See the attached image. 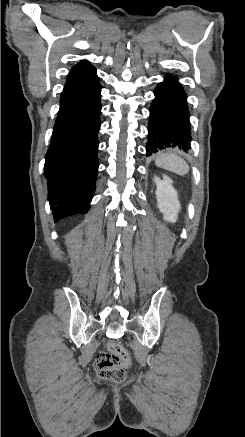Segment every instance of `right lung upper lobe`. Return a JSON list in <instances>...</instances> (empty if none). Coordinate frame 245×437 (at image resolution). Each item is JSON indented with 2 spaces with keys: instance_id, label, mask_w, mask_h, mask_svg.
Returning a JSON list of instances; mask_svg holds the SVG:
<instances>
[{
  "instance_id": "cb5924a9",
  "label": "right lung upper lobe",
  "mask_w": 245,
  "mask_h": 437,
  "mask_svg": "<svg viewBox=\"0 0 245 437\" xmlns=\"http://www.w3.org/2000/svg\"><path fill=\"white\" fill-rule=\"evenodd\" d=\"M98 81L96 69L89 61L82 60L70 70L62 93L82 89Z\"/></svg>"
}]
</instances>
